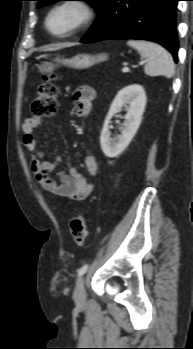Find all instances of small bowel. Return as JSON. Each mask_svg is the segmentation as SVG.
Listing matches in <instances>:
<instances>
[{
	"label": "small bowel",
	"instance_id": "c3829d8e",
	"mask_svg": "<svg viewBox=\"0 0 193 349\" xmlns=\"http://www.w3.org/2000/svg\"><path fill=\"white\" fill-rule=\"evenodd\" d=\"M95 90L90 86H81L73 93L76 103L75 113L78 117H86L92 108L95 99ZM42 124V119L30 117L22 123L23 146L30 155V164L36 179L42 188L54 195L66 198L70 201L85 200L93 191L94 184L79 173L67 161L58 157L54 161L44 159L45 154L36 147L34 136L35 129ZM64 168L58 172L59 164ZM84 167L90 176L98 172V162L93 155H87L84 159Z\"/></svg>",
	"mask_w": 193,
	"mask_h": 349
}]
</instances>
